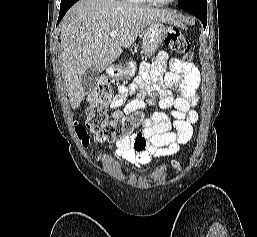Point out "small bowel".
I'll list each match as a JSON object with an SVG mask.
<instances>
[{
	"instance_id": "obj_1",
	"label": "small bowel",
	"mask_w": 257,
	"mask_h": 237,
	"mask_svg": "<svg viewBox=\"0 0 257 237\" xmlns=\"http://www.w3.org/2000/svg\"><path fill=\"white\" fill-rule=\"evenodd\" d=\"M169 56L160 52L154 63H142L138 75L129 85H121L111 103L114 119H120L145 108V97L148 93H159V108L171 109L170 118L162 111L155 112L151 118L142 122V129L118 141L116 147L107 145L105 155L114 152L130 164L142 168L154 158L170 156L178 152L181 145L190 141L193 135V124L197 121V113L193 110L199 102L196 90L200 83L197 67L187 61L171 59L169 72L165 77V85L177 92L175 95L168 89H160L156 82L166 69ZM133 94L134 98L125 104L126 98Z\"/></svg>"
}]
</instances>
